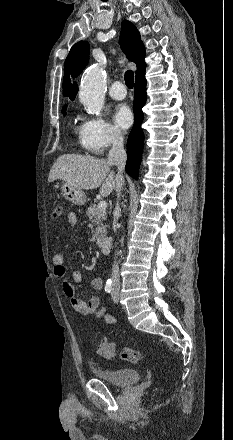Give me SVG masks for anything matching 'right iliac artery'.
Here are the masks:
<instances>
[{
  "label": "right iliac artery",
  "mask_w": 233,
  "mask_h": 440,
  "mask_svg": "<svg viewBox=\"0 0 233 440\" xmlns=\"http://www.w3.org/2000/svg\"><path fill=\"white\" fill-rule=\"evenodd\" d=\"M113 289V283L111 280H107L106 284H105V291L107 293H110Z\"/></svg>",
  "instance_id": "right-iliac-artery-1"
}]
</instances>
